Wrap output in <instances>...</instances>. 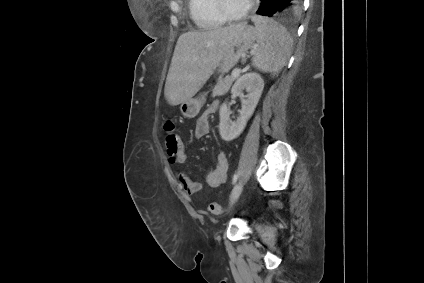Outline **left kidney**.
Returning a JSON list of instances; mask_svg holds the SVG:
<instances>
[{"label": "left kidney", "mask_w": 424, "mask_h": 283, "mask_svg": "<svg viewBox=\"0 0 424 283\" xmlns=\"http://www.w3.org/2000/svg\"><path fill=\"white\" fill-rule=\"evenodd\" d=\"M264 88V81L258 73H246L239 77L231 89L233 96L241 100L240 116L232 121L228 115L227 103L220 107V136L225 141L237 138L244 130L247 121L253 115ZM246 90L247 95L243 91Z\"/></svg>", "instance_id": "obj_1"}]
</instances>
